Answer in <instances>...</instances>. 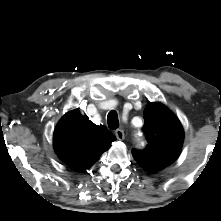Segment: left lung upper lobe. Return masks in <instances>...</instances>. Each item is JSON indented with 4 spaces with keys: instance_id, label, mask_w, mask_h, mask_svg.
Instances as JSON below:
<instances>
[{
    "instance_id": "5c2ea615",
    "label": "left lung upper lobe",
    "mask_w": 221,
    "mask_h": 221,
    "mask_svg": "<svg viewBox=\"0 0 221 221\" xmlns=\"http://www.w3.org/2000/svg\"><path fill=\"white\" fill-rule=\"evenodd\" d=\"M143 116L148 145L142 151L132 150V154L139 165L155 173L178 158L183 129L178 118L161 103L148 105Z\"/></svg>"
}]
</instances>
